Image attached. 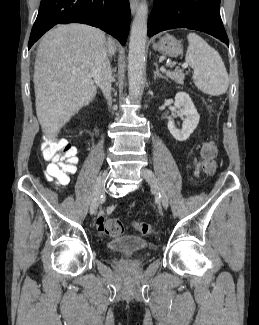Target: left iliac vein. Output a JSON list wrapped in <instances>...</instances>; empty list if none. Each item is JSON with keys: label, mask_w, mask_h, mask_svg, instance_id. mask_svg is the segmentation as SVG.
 I'll list each match as a JSON object with an SVG mask.
<instances>
[{"label": "left iliac vein", "mask_w": 259, "mask_h": 325, "mask_svg": "<svg viewBox=\"0 0 259 325\" xmlns=\"http://www.w3.org/2000/svg\"><path fill=\"white\" fill-rule=\"evenodd\" d=\"M141 176L148 182V184L152 188H154L158 192L163 207L167 209L169 206L168 197L155 174L148 168H142Z\"/></svg>", "instance_id": "1"}]
</instances>
